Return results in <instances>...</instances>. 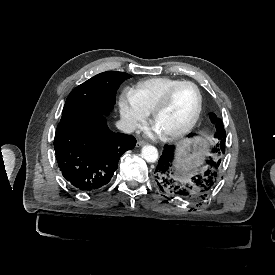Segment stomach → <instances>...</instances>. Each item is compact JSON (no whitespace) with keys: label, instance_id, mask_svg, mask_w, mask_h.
<instances>
[{"label":"stomach","instance_id":"stomach-1","mask_svg":"<svg viewBox=\"0 0 275 275\" xmlns=\"http://www.w3.org/2000/svg\"><path fill=\"white\" fill-rule=\"evenodd\" d=\"M200 137L182 141L176 151L174 161L177 170L190 171L203 163L209 154L210 138L205 132H199Z\"/></svg>","mask_w":275,"mask_h":275}]
</instances>
